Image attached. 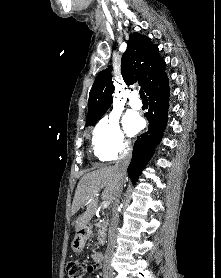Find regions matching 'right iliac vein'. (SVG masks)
Returning <instances> with one entry per match:
<instances>
[{
  "label": "right iliac vein",
  "mask_w": 221,
  "mask_h": 278,
  "mask_svg": "<svg viewBox=\"0 0 221 278\" xmlns=\"http://www.w3.org/2000/svg\"><path fill=\"white\" fill-rule=\"evenodd\" d=\"M105 278H114V276L113 275H107Z\"/></svg>",
  "instance_id": "obj_1"
}]
</instances>
